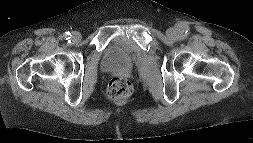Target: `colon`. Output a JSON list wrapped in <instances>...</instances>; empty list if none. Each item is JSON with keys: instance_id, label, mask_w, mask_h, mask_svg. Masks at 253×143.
I'll use <instances>...</instances> for the list:
<instances>
[{"instance_id": "5ec220e1", "label": "colon", "mask_w": 253, "mask_h": 143, "mask_svg": "<svg viewBox=\"0 0 253 143\" xmlns=\"http://www.w3.org/2000/svg\"><path fill=\"white\" fill-rule=\"evenodd\" d=\"M132 92L131 83L124 77L113 78L107 87V94L112 100L120 101L124 100Z\"/></svg>"}]
</instances>
